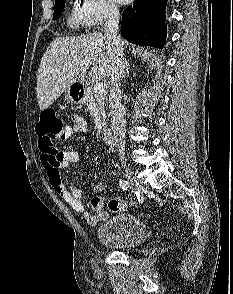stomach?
<instances>
[{
  "mask_svg": "<svg viewBox=\"0 0 233 294\" xmlns=\"http://www.w3.org/2000/svg\"><path fill=\"white\" fill-rule=\"evenodd\" d=\"M83 92L82 89L79 87H75L74 84L71 85L66 91H65V99L73 104H80L82 103V97Z\"/></svg>",
  "mask_w": 233,
  "mask_h": 294,
  "instance_id": "1",
  "label": "stomach"
}]
</instances>
